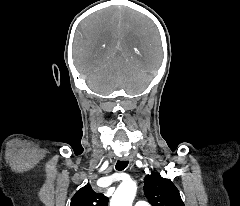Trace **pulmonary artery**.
I'll use <instances>...</instances> for the list:
<instances>
[{"label": "pulmonary artery", "mask_w": 240, "mask_h": 206, "mask_svg": "<svg viewBox=\"0 0 240 206\" xmlns=\"http://www.w3.org/2000/svg\"><path fill=\"white\" fill-rule=\"evenodd\" d=\"M135 206H150L146 201H137Z\"/></svg>", "instance_id": "1"}]
</instances>
